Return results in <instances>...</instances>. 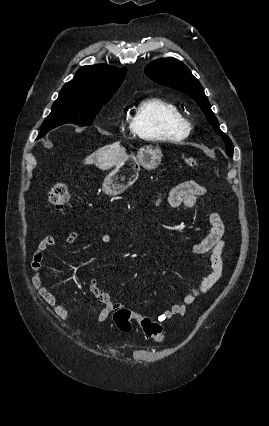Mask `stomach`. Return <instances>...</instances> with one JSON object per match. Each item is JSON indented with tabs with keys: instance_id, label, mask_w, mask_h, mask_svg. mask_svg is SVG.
Here are the masks:
<instances>
[{
	"instance_id": "1",
	"label": "stomach",
	"mask_w": 269,
	"mask_h": 426,
	"mask_svg": "<svg viewBox=\"0 0 269 426\" xmlns=\"http://www.w3.org/2000/svg\"><path fill=\"white\" fill-rule=\"evenodd\" d=\"M162 151L158 147L146 146L139 149L137 155H128L104 179L103 191L115 196L123 193L139 177L141 167L153 170L160 164Z\"/></svg>"
}]
</instances>
